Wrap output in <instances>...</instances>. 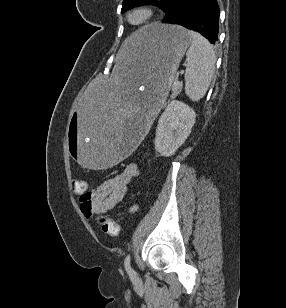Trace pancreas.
Here are the masks:
<instances>
[{"label":"pancreas","instance_id":"pancreas-1","mask_svg":"<svg viewBox=\"0 0 286 308\" xmlns=\"http://www.w3.org/2000/svg\"><path fill=\"white\" fill-rule=\"evenodd\" d=\"M181 89H182V86H180V85L174 87L173 93L171 95V99L176 98L179 95V93L181 92Z\"/></svg>","mask_w":286,"mask_h":308}]
</instances>
